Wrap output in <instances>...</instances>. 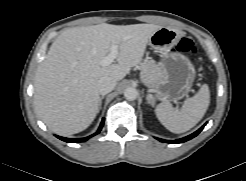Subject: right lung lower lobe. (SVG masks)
I'll return each mask as SVG.
<instances>
[{
	"mask_svg": "<svg viewBox=\"0 0 246 181\" xmlns=\"http://www.w3.org/2000/svg\"><path fill=\"white\" fill-rule=\"evenodd\" d=\"M103 124H104V119L102 120L101 125H100L98 131H97L95 134L90 135V136L85 137V138L69 139V138H64V137H60V136H57V137H58L59 139L65 141V142H68V143L85 142V141H87L89 138H91V137H93L94 135L98 134V133L100 132V130H101Z\"/></svg>",
	"mask_w": 246,
	"mask_h": 181,
	"instance_id": "1",
	"label": "right lung lower lobe"
}]
</instances>
